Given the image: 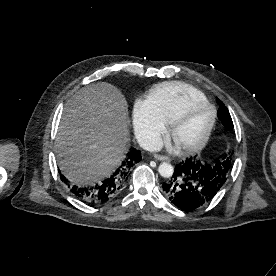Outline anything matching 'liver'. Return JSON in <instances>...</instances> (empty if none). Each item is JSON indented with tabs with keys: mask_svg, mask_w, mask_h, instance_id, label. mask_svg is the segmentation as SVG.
I'll list each match as a JSON object with an SVG mask.
<instances>
[{
	"mask_svg": "<svg viewBox=\"0 0 276 276\" xmlns=\"http://www.w3.org/2000/svg\"><path fill=\"white\" fill-rule=\"evenodd\" d=\"M128 108L113 85L98 82L78 90L66 103L55 149L64 176L78 186L108 176L129 145Z\"/></svg>",
	"mask_w": 276,
	"mask_h": 276,
	"instance_id": "liver-1",
	"label": "liver"
}]
</instances>
